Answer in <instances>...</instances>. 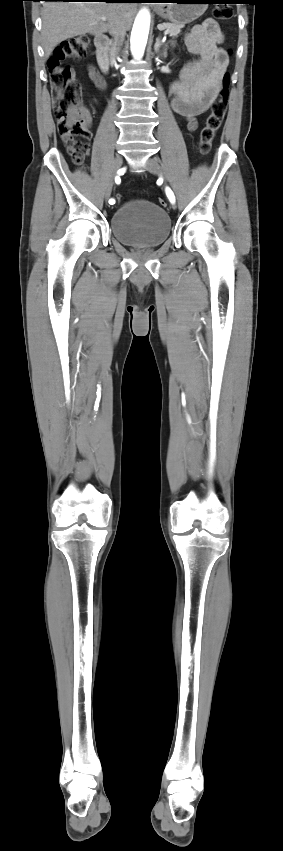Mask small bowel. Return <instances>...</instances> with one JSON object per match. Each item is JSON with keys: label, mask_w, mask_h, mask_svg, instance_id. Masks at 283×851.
Segmentation results:
<instances>
[{"label": "small bowel", "mask_w": 283, "mask_h": 851, "mask_svg": "<svg viewBox=\"0 0 283 851\" xmlns=\"http://www.w3.org/2000/svg\"><path fill=\"white\" fill-rule=\"evenodd\" d=\"M223 42L224 34L211 18L195 25L185 37L188 51L197 59L186 64L180 79L172 84L171 107L186 122L189 131L197 129L196 117L210 108L221 90L229 63L226 51L220 46ZM88 73L98 93L109 88V81L97 68L90 66ZM65 145L69 154L75 148L74 144Z\"/></svg>", "instance_id": "1"}]
</instances>
